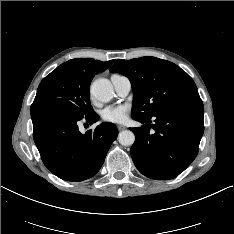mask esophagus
<instances>
[{
	"label": "esophagus",
	"mask_w": 234,
	"mask_h": 234,
	"mask_svg": "<svg viewBox=\"0 0 234 234\" xmlns=\"http://www.w3.org/2000/svg\"><path fill=\"white\" fill-rule=\"evenodd\" d=\"M117 128H118L119 131H122V130L126 129V127L123 126V125H118Z\"/></svg>",
	"instance_id": "1"
}]
</instances>
